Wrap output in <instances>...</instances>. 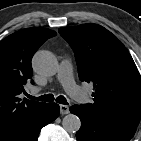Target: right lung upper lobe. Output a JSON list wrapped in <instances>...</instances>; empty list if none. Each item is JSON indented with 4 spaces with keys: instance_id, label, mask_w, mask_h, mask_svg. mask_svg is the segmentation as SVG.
Masks as SVG:
<instances>
[{
    "instance_id": "right-lung-upper-lobe-1",
    "label": "right lung upper lobe",
    "mask_w": 141,
    "mask_h": 141,
    "mask_svg": "<svg viewBox=\"0 0 141 141\" xmlns=\"http://www.w3.org/2000/svg\"><path fill=\"white\" fill-rule=\"evenodd\" d=\"M56 35L50 29L19 30L0 42V140L7 138L46 103L21 99L23 85L32 77L36 50Z\"/></svg>"
}]
</instances>
